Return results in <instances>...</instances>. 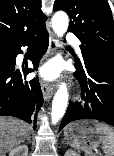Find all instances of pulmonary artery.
I'll use <instances>...</instances> for the list:
<instances>
[{
  "instance_id": "1",
  "label": "pulmonary artery",
  "mask_w": 114,
  "mask_h": 156,
  "mask_svg": "<svg viewBox=\"0 0 114 156\" xmlns=\"http://www.w3.org/2000/svg\"><path fill=\"white\" fill-rule=\"evenodd\" d=\"M67 40H68L70 43H72V44L75 46V48H76L77 50L80 49V41L77 39V37H76L75 35L69 33V34L67 35Z\"/></svg>"
}]
</instances>
